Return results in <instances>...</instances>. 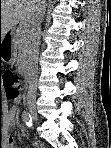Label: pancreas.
<instances>
[{"mask_svg": "<svg viewBox=\"0 0 111 148\" xmlns=\"http://www.w3.org/2000/svg\"><path fill=\"white\" fill-rule=\"evenodd\" d=\"M16 43L19 50V66L26 68V57L29 47V31L27 25H20L16 31Z\"/></svg>", "mask_w": 111, "mask_h": 148, "instance_id": "1", "label": "pancreas"}]
</instances>
